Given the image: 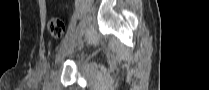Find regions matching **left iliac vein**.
<instances>
[{
	"label": "left iliac vein",
	"mask_w": 209,
	"mask_h": 90,
	"mask_svg": "<svg viewBox=\"0 0 209 90\" xmlns=\"http://www.w3.org/2000/svg\"><path fill=\"white\" fill-rule=\"evenodd\" d=\"M79 24H82L81 22ZM76 47L75 38H70L68 41L62 43L58 49L57 55L55 57V63H60L63 59L69 55L73 49Z\"/></svg>",
	"instance_id": "4c4485c4"
}]
</instances>
